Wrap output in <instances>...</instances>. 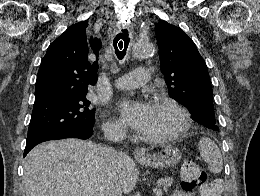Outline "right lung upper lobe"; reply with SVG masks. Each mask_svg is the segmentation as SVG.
<instances>
[{"mask_svg": "<svg viewBox=\"0 0 260 196\" xmlns=\"http://www.w3.org/2000/svg\"><path fill=\"white\" fill-rule=\"evenodd\" d=\"M87 21L71 25L52 42L44 56L35 85V104L69 94L88 92V85L97 81V62H92V52L98 56L101 41L86 34Z\"/></svg>", "mask_w": 260, "mask_h": 196, "instance_id": "cb5924a9", "label": "right lung upper lobe"}]
</instances>
